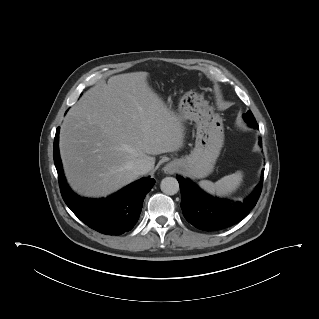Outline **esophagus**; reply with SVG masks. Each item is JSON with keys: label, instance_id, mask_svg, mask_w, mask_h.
Segmentation results:
<instances>
[{"label": "esophagus", "instance_id": "obj_1", "mask_svg": "<svg viewBox=\"0 0 319 319\" xmlns=\"http://www.w3.org/2000/svg\"><path fill=\"white\" fill-rule=\"evenodd\" d=\"M164 172L166 174H173L174 173V168L172 166H170V165H167V166L164 167Z\"/></svg>", "mask_w": 319, "mask_h": 319}]
</instances>
